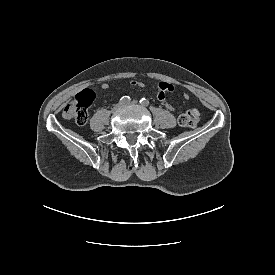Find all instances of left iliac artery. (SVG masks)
Instances as JSON below:
<instances>
[{"label":"left iliac artery","mask_w":275,"mask_h":275,"mask_svg":"<svg viewBox=\"0 0 275 275\" xmlns=\"http://www.w3.org/2000/svg\"><path fill=\"white\" fill-rule=\"evenodd\" d=\"M140 103H141L142 105H144V106H147V105L149 104V101H148L147 99H145V98H142V99L140 100Z\"/></svg>","instance_id":"44dca946"}]
</instances>
